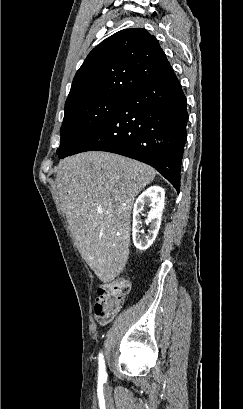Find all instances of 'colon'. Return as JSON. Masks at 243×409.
<instances>
[{
	"label": "colon",
	"instance_id": "1",
	"mask_svg": "<svg viewBox=\"0 0 243 409\" xmlns=\"http://www.w3.org/2000/svg\"><path fill=\"white\" fill-rule=\"evenodd\" d=\"M129 291L130 283L122 277L99 285L94 307L96 320L100 323H107L112 319Z\"/></svg>",
	"mask_w": 243,
	"mask_h": 409
}]
</instances>
